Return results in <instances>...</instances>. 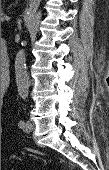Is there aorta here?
Returning <instances> with one entry per match:
<instances>
[{"label":"aorta","mask_w":109,"mask_h":170,"mask_svg":"<svg viewBox=\"0 0 109 170\" xmlns=\"http://www.w3.org/2000/svg\"><path fill=\"white\" fill-rule=\"evenodd\" d=\"M40 2L41 0H29V7L25 15V25L27 28L30 27ZM15 77L18 93L20 97L25 100L28 97V74L26 70V56L23 48L16 54Z\"/></svg>","instance_id":"aorta-1"}]
</instances>
